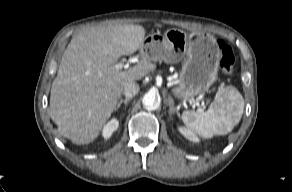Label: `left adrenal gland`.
I'll use <instances>...</instances> for the list:
<instances>
[{
  "instance_id": "a2214340",
  "label": "left adrenal gland",
  "mask_w": 292,
  "mask_h": 192,
  "mask_svg": "<svg viewBox=\"0 0 292 192\" xmlns=\"http://www.w3.org/2000/svg\"><path fill=\"white\" fill-rule=\"evenodd\" d=\"M167 102H168V105L170 107L169 115L171 116L172 114L176 113L177 116H180V113H179L178 109L174 105V100L170 96L168 97Z\"/></svg>"
}]
</instances>
